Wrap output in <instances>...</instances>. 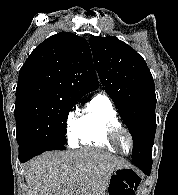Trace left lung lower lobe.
<instances>
[{
	"label": "left lung lower lobe",
	"mask_w": 178,
	"mask_h": 195,
	"mask_svg": "<svg viewBox=\"0 0 178 195\" xmlns=\"http://www.w3.org/2000/svg\"><path fill=\"white\" fill-rule=\"evenodd\" d=\"M145 174L149 175L152 167V159L146 160L144 162L135 163Z\"/></svg>",
	"instance_id": "0a47b994"
}]
</instances>
